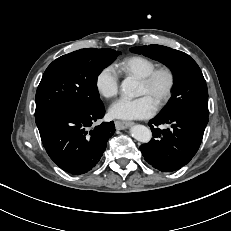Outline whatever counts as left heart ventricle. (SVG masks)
Listing matches in <instances>:
<instances>
[{
    "label": "left heart ventricle",
    "instance_id": "left-heart-ventricle-1",
    "mask_svg": "<svg viewBox=\"0 0 231 231\" xmlns=\"http://www.w3.org/2000/svg\"><path fill=\"white\" fill-rule=\"evenodd\" d=\"M165 87V79L161 78L156 83V85L152 89L146 88L142 83L139 85V94L147 95L149 96L154 103H156L157 98L162 93L163 89Z\"/></svg>",
    "mask_w": 231,
    "mask_h": 231
}]
</instances>
